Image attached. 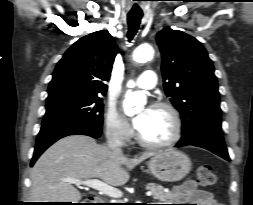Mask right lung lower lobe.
I'll use <instances>...</instances> for the list:
<instances>
[{
    "label": "right lung lower lobe",
    "instance_id": "right-lung-lower-lobe-1",
    "mask_svg": "<svg viewBox=\"0 0 253 205\" xmlns=\"http://www.w3.org/2000/svg\"><path fill=\"white\" fill-rule=\"evenodd\" d=\"M101 127L86 126L81 124L61 123L52 125H42L38 134L35 152L31 161V166L38 157L58 139L69 135H87L98 138L101 135Z\"/></svg>",
    "mask_w": 253,
    "mask_h": 205
}]
</instances>
